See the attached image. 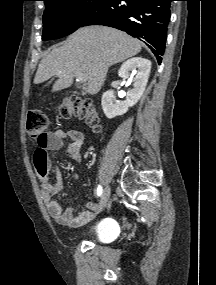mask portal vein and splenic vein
Segmentation results:
<instances>
[{
  "mask_svg": "<svg viewBox=\"0 0 216 285\" xmlns=\"http://www.w3.org/2000/svg\"><path fill=\"white\" fill-rule=\"evenodd\" d=\"M75 76L77 77V79L81 82H85L87 81V77L84 73H81V72H76L75 73Z\"/></svg>",
  "mask_w": 216,
  "mask_h": 285,
  "instance_id": "1",
  "label": "portal vein and splenic vein"
}]
</instances>
